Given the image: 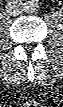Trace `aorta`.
I'll return each instance as SVG.
<instances>
[{"label":"aorta","mask_w":63,"mask_h":107,"mask_svg":"<svg viewBox=\"0 0 63 107\" xmlns=\"http://www.w3.org/2000/svg\"><path fill=\"white\" fill-rule=\"evenodd\" d=\"M23 5V9L27 13H34L39 7L38 2L36 0H27L24 2Z\"/></svg>","instance_id":"1"}]
</instances>
